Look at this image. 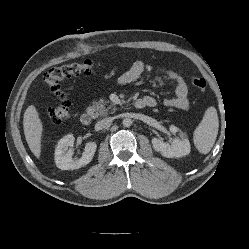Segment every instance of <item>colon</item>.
I'll return each mask as SVG.
<instances>
[{"mask_svg": "<svg viewBox=\"0 0 249 249\" xmlns=\"http://www.w3.org/2000/svg\"><path fill=\"white\" fill-rule=\"evenodd\" d=\"M98 65L92 61L86 60L79 63L63 64L51 68L44 76V82L48 90L55 95L60 103L56 106H51L47 109L49 119L54 123H61L70 118V102L66 94L61 88L60 82L72 76L81 74H93ZM191 83L199 90L204 91L207 87V82L202 77L191 76Z\"/></svg>", "mask_w": 249, "mask_h": 249, "instance_id": "colon-1", "label": "colon"}]
</instances>
